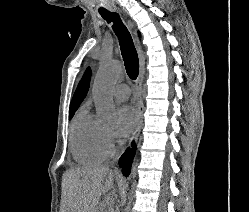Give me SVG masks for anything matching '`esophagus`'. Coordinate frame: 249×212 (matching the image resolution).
<instances>
[{
  "label": "esophagus",
  "mask_w": 249,
  "mask_h": 212,
  "mask_svg": "<svg viewBox=\"0 0 249 212\" xmlns=\"http://www.w3.org/2000/svg\"><path fill=\"white\" fill-rule=\"evenodd\" d=\"M118 11L120 12L121 10L118 9ZM137 51H138V55L140 59V73H139L138 80L136 82V93H137L136 104H137L138 112H137L136 127L134 130L135 139H137L140 133V130L143 127V106H142L141 90H142L143 77L145 74V56H144L143 50L139 42H137Z\"/></svg>",
  "instance_id": "34e87169"
}]
</instances>
